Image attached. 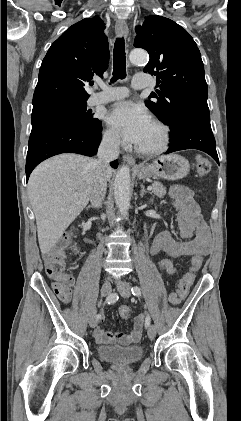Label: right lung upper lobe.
Returning <instances> with one entry per match:
<instances>
[{"label": "right lung upper lobe", "mask_w": 241, "mask_h": 421, "mask_svg": "<svg viewBox=\"0 0 241 421\" xmlns=\"http://www.w3.org/2000/svg\"><path fill=\"white\" fill-rule=\"evenodd\" d=\"M105 25L95 16L69 27L49 48L42 61L33 107L51 101H84L93 76H101L109 62Z\"/></svg>", "instance_id": "obj_1"}]
</instances>
